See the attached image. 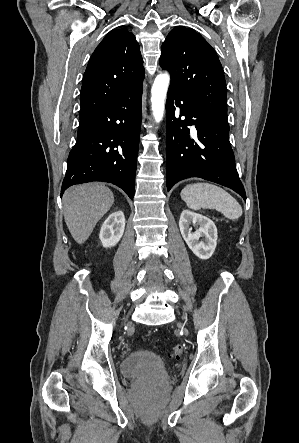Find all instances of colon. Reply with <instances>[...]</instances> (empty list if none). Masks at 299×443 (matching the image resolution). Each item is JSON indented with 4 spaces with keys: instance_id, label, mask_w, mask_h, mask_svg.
<instances>
[{
    "instance_id": "1",
    "label": "colon",
    "mask_w": 299,
    "mask_h": 443,
    "mask_svg": "<svg viewBox=\"0 0 299 443\" xmlns=\"http://www.w3.org/2000/svg\"><path fill=\"white\" fill-rule=\"evenodd\" d=\"M183 355V347L181 345H175L171 350V356L174 358H181Z\"/></svg>"
}]
</instances>
